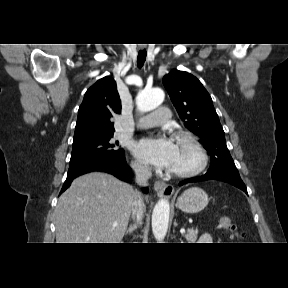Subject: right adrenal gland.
<instances>
[{
  "mask_svg": "<svg viewBox=\"0 0 288 288\" xmlns=\"http://www.w3.org/2000/svg\"><path fill=\"white\" fill-rule=\"evenodd\" d=\"M137 229V225H130L129 228L126 230L125 234H132Z\"/></svg>",
  "mask_w": 288,
  "mask_h": 288,
  "instance_id": "1",
  "label": "right adrenal gland"
}]
</instances>
